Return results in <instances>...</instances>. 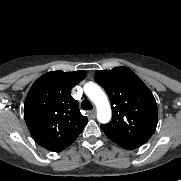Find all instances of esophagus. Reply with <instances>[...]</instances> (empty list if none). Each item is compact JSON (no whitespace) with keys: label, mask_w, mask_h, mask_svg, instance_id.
I'll list each match as a JSON object with an SVG mask.
<instances>
[{"label":"esophagus","mask_w":181,"mask_h":181,"mask_svg":"<svg viewBox=\"0 0 181 181\" xmlns=\"http://www.w3.org/2000/svg\"><path fill=\"white\" fill-rule=\"evenodd\" d=\"M89 115H90L91 117H95V115H96V110L93 109V110L89 111Z\"/></svg>","instance_id":"esophagus-1"}]
</instances>
